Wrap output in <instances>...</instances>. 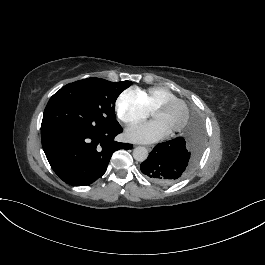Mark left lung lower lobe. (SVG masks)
Listing matches in <instances>:
<instances>
[{"label": "left lung lower lobe", "mask_w": 265, "mask_h": 265, "mask_svg": "<svg viewBox=\"0 0 265 265\" xmlns=\"http://www.w3.org/2000/svg\"><path fill=\"white\" fill-rule=\"evenodd\" d=\"M204 146L201 118L193 116L183 136L159 143L141 163V172L161 185L172 184L187 176L196 166Z\"/></svg>", "instance_id": "obj_1"}]
</instances>
